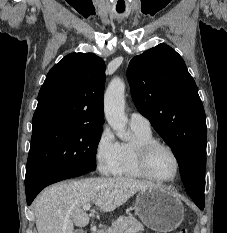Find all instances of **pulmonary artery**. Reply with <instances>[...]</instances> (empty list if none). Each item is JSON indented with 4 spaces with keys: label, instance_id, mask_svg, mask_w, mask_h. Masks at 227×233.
<instances>
[{
    "label": "pulmonary artery",
    "instance_id": "e3ab8cb5",
    "mask_svg": "<svg viewBox=\"0 0 227 233\" xmlns=\"http://www.w3.org/2000/svg\"><path fill=\"white\" fill-rule=\"evenodd\" d=\"M129 124L132 129H139L142 131H151L150 121L138 112H132L129 116Z\"/></svg>",
    "mask_w": 227,
    "mask_h": 233
}]
</instances>
